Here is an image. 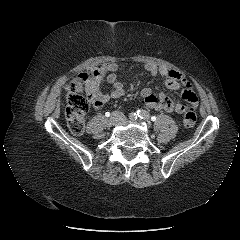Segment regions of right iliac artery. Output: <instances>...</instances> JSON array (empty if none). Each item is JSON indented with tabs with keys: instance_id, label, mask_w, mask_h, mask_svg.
Segmentation results:
<instances>
[{
	"instance_id": "obj_1",
	"label": "right iliac artery",
	"mask_w": 240,
	"mask_h": 240,
	"mask_svg": "<svg viewBox=\"0 0 240 240\" xmlns=\"http://www.w3.org/2000/svg\"><path fill=\"white\" fill-rule=\"evenodd\" d=\"M129 117H130L131 120H136L137 119V114L132 112Z\"/></svg>"
}]
</instances>
